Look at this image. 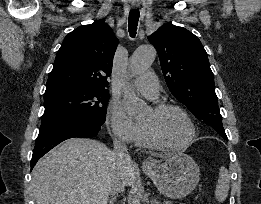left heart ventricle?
<instances>
[{"label": "left heart ventricle", "instance_id": "b2bd125f", "mask_svg": "<svg viewBox=\"0 0 261 204\" xmlns=\"http://www.w3.org/2000/svg\"><path fill=\"white\" fill-rule=\"evenodd\" d=\"M141 122L152 125L159 137L170 145H180L190 135L188 122L182 114L175 110L165 111L155 117L151 109H148Z\"/></svg>", "mask_w": 261, "mask_h": 204}]
</instances>
